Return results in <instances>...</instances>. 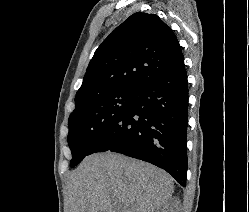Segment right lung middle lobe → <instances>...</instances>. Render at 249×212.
I'll return each instance as SVG.
<instances>
[{
    "mask_svg": "<svg viewBox=\"0 0 249 212\" xmlns=\"http://www.w3.org/2000/svg\"><path fill=\"white\" fill-rule=\"evenodd\" d=\"M136 92L119 91L95 96L76 106L69 117L68 145L71 167L90 155L93 145L128 108Z\"/></svg>",
    "mask_w": 249,
    "mask_h": 212,
    "instance_id": "obj_1",
    "label": "right lung middle lobe"
}]
</instances>
